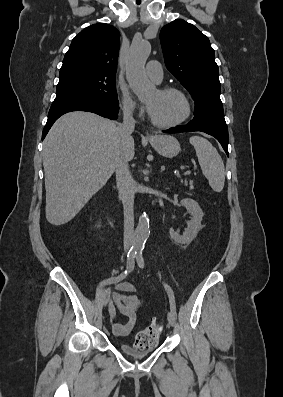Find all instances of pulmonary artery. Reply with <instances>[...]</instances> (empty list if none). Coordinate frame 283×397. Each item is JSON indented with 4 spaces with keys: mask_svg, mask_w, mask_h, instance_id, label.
I'll return each instance as SVG.
<instances>
[{
    "mask_svg": "<svg viewBox=\"0 0 283 397\" xmlns=\"http://www.w3.org/2000/svg\"><path fill=\"white\" fill-rule=\"evenodd\" d=\"M146 72L154 81L161 82L163 78V69L158 61H149L146 66Z\"/></svg>",
    "mask_w": 283,
    "mask_h": 397,
    "instance_id": "obj_1",
    "label": "pulmonary artery"
}]
</instances>
